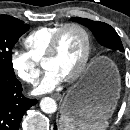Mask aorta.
Returning <instances> with one entry per match:
<instances>
[{
  "label": "aorta",
  "instance_id": "obj_1",
  "mask_svg": "<svg viewBox=\"0 0 130 130\" xmlns=\"http://www.w3.org/2000/svg\"><path fill=\"white\" fill-rule=\"evenodd\" d=\"M40 108L43 112L52 114L57 110V104L54 99L45 97L40 101Z\"/></svg>",
  "mask_w": 130,
  "mask_h": 130
}]
</instances>
